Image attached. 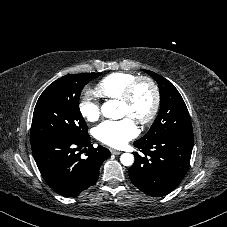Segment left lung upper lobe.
<instances>
[{"label":"left lung upper lobe","mask_w":227,"mask_h":227,"mask_svg":"<svg viewBox=\"0 0 227 227\" xmlns=\"http://www.w3.org/2000/svg\"><path fill=\"white\" fill-rule=\"evenodd\" d=\"M153 77L160 88V110L149 132L139 142H150L159 138L193 133L188 109L178 90L164 77L143 70Z\"/></svg>","instance_id":"obj_1"}]
</instances>
